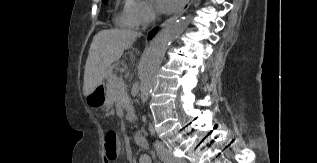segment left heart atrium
Instances as JSON below:
<instances>
[{
	"label": "left heart atrium",
	"mask_w": 317,
	"mask_h": 163,
	"mask_svg": "<svg viewBox=\"0 0 317 163\" xmlns=\"http://www.w3.org/2000/svg\"><path fill=\"white\" fill-rule=\"evenodd\" d=\"M183 0H155L157 9L162 13H170L175 10Z\"/></svg>",
	"instance_id": "obj_1"
}]
</instances>
